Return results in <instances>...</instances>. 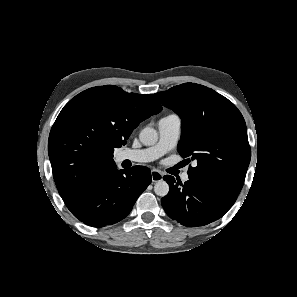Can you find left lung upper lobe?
Instances as JSON below:
<instances>
[{"instance_id":"left-lung-upper-lobe-1","label":"left lung upper lobe","mask_w":297,"mask_h":297,"mask_svg":"<svg viewBox=\"0 0 297 297\" xmlns=\"http://www.w3.org/2000/svg\"><path fill=\"white\" fill-rule=\"evenodd\" d=\"M155 96L182 120L178 152L197 162L188 169L189 179L234 204L251 158L240 111L216 91L195 83H184Z\"/></svg>"}]
</instances>
